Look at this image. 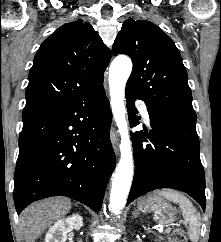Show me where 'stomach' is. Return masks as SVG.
<instances>
[{"label": "stomach", "instance_id": "1", "mask_svg": "<svg viewBox=\"0 0 221 242\" xmlns=\"http://www.w3.org/2000/svg\"><path fill=\"white\" fill-rule=\"evenodd\" d=\"M138 209L141 212L154 213V220L161 224L172 223L177 215V210L158 195H150L140 199Z\"/></svg>", "mask_w": 221, "mask_h": 242}]
</instances>
